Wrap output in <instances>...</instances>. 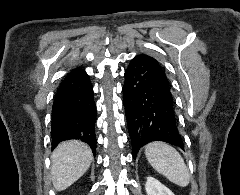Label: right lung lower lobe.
I'll list each match as a JSON object with an SVG mask.
<instances>
[{
	"label": "right lung lower lobe",
	"instance_id": "right-lung-lower-lobe-1",
	"mask_svg": "<svg viewBox=\"0 0 240 195\" xmlns=\"http://www.w3.org/2000/svg\"><path fill=\"white\" fill-rule=\"evenodd\" d=\"M52 149L60 142L80 139L96 149V105L93 87L85 71L67 75L59 84L51 120Z\"/></svg>",
	"mask_w": 240,
	"mask_h": 195
}]
</instances>
